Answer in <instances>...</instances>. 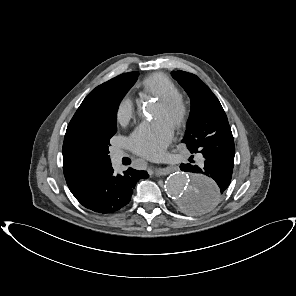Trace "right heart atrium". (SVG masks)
Listing matches in <instances>:
<instances>
[{"mask_svg":"<svg viewBox=\"0 0 296 296\" xmlns=\"http://www.w3.org/2000/svg\"><path fill=\"white\" fill-rule=\"evenodd\" d=\"M135 106L129 97H124L116 109V120L120 125H126L134 117Z\"/></svg>","mask_w":296,"mask_h":296,"instance_id":"d8ad5b80","label":"right heart atrium"}]
</instances>
